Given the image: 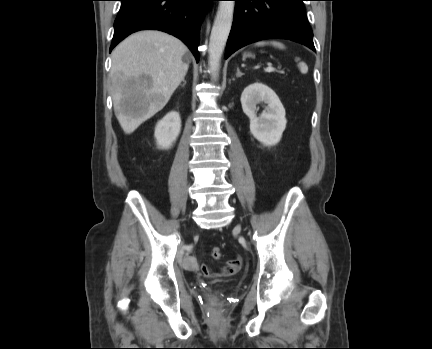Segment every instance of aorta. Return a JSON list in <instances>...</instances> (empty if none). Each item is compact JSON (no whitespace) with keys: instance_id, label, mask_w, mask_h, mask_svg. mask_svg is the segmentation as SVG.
<instances>
[{"instance_id":"obj_1","label":"aorta","mask_w":432,"mask_h":349,"mask_svg":"<svg viewBox=\"0 0 432 349\" xmlns=\"http://www.w3.org/2000/svg\"><path fill=\"white\" fill-rule=\"evenodd\" d=\"M234 7V1H220L211 30L208 61L215 79L218 76L217 71L231 30Z\"/></svg>"}]
</instances>
